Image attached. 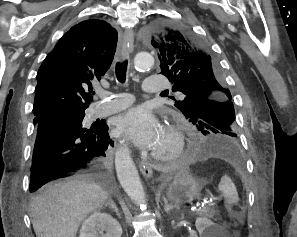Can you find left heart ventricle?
I'll use <instances>...</instances> for the list:
<instances>
[{
  "label": "left heart ventricle",
  "instance_id": "1",
  "mask_svg": "<svg viewBox=\"0 0 297 237\" xmlns=\"http://www.w3.org/2000/svg\"><path fill=\"white\" fill-rule=\"evenodd\" d=\"M170 147H171L170 139H169L168 135L166 134V131L164 130L158 145L156 146V148L153 151L162 152V151H166Z\"/></svg>",
  "mask_w": 297,
  "mask_h": 237
}]
</instances>
